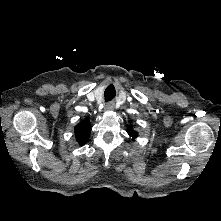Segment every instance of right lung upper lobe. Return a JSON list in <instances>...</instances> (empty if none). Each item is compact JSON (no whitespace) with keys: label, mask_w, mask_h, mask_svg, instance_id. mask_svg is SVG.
I'll use <instances>...</instances> for the list:
<instances>
[{"label":"right lung upper lobe","mask_w":221,"mask_h":221,"mask_svg":"<svg viewBox=\"0 0 221 221\" xmlns=\"http://www.w3.org/2000/svg\"><path fill=\"white\" fill-rule=\"evenodd\" d=\"M91 126L88 120L80 122L75 126V137L80 145H84L90 136Z\"/></svg>","instance_id":"right-lung-upper-lobe-1"}]
</instances>
